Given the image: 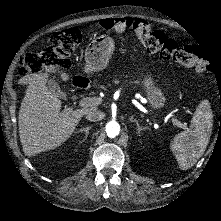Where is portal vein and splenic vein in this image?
I'll list each match as a JSON object with an SVG mask.
<instances>
[{"label": "portal vein and splenic vein", "mask_w": 221, "mask_h": 221, "mask_svg": "<svg viewBox=\"0 0 221 221\" xmlns=\"http://www.w3.org/2000/svg\"><path fill=\"white\" fill-rule=\"evenodd\" d=\"M102 102H103V99L101 97L85 98L81 100V106L97 105V104H101ZM170 121L174 125H178L179 127H182V125L178 122V120L175 117L171 116Z\"/></svg>", "instance_id": "portal-vein-and-splenic-vein-1"}]
</instances>
